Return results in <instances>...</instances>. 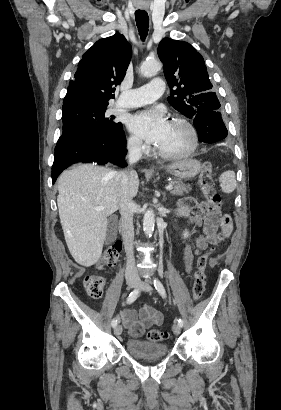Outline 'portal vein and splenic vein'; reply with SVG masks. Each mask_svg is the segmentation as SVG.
Listing matches in <instances>:
<instances>
[{
	"label": "portal vein and splenic vein",
	"instance_id": "portal-vein-and-splenic-vein-1",
	"mask_svg": "<svg viewBox=\"0 0 281 410\" xmlns=\"http://www.w3.org/2000/svg\"><path fill=\"white\" fill-rule=\"evenodd\" d=\"M173 189V186H172V184H168L167 186H166V190H172ZM94 210H96V211H102V210H104V207H96V208H94Z\"/></svg>",
	"mask_w": 281,
	"mask_h": 410
}]
</instances>
